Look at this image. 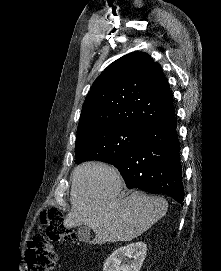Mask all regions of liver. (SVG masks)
Returning a JSON list of instances; mask_svg holds the SVG:
<instances>
[{"label": "liver", "mask_w": 221, "mask_h": 271, "mask_svg": "<svg viewBox=\"0 0 221 271\" xmlns=\"http://www.w3.org/2000/svg\"><path fill=\"white\" fill-rule=\"evenodd\" d=\"M70 191L71 209L65 227L88 225L95 237L90 243L132 241L161 219L168 203L160 195L142 191L120 197L124 187L117 169L101 161H84L74 167Z\"/></svg>", "instance_id": "1"}]
</instances>
